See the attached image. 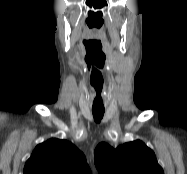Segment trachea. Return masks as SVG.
Segmentation results:
<instances>
[{
  "instance_id": "1",
  "label": "trachea",
  "mask_w": 187,
  "mask_h": 174,
  "mask_svg": "<svg viewBox=\"0 0 187 174\" xmlns=\"http://www.w3.org/2000/svg\"><path fill=\"white\" fill-rule=\"evenodd\" d=\"M104 111H105L104 108L103 109L92 108L93 117L97 123H99L103 118Z\"/></svg>"
}]
</instances>
